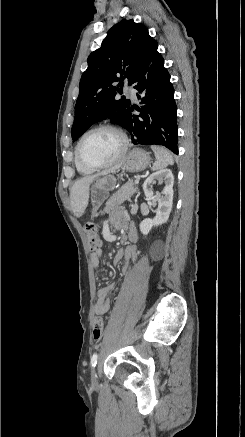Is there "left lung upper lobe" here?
Returning <instances> with one entry per match:
<instances>
[{
    "mask_svg": "<svg viewBox=\"0 0 245 437\" xmlns=\"http://www.w3.org/2000/svg\"><path fill=\"white\" fill-rule=\"evenodd\" d=\"M157 46L147 28L131 19H123L109 30L102 46L89 55L88 68L80 80L73 141L92 124L107 118L126 127L130 101L123 97L116 100L115 96L122 93L124 79L134 84L144 59ZM114 82L119 83L115 86Z\"/></svg>",
    "mask_w": 245,
    "mask_h": 437,
    "instance_id": "left-lung-upper-lobe-1",
    "label": "left lung upper lobe"
}]
</instances>
